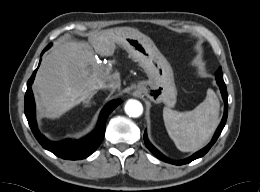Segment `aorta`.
Returning <instances> with one entry per match:
<instances>
[{
  "label": "aorta",
  "mask_w": 260,
  "mask_h": 192,
  "mask_svg": "<svg viewBox=\"0 0 260 192\" xmlns=\"http://www.w3.org/2000/svg\"><path fill=\"white\" fill-rule=\"evenodd\" d=\"M124 110L129 117H139L143 112V106L137 100H128Z\"/></svg>",
  "instance_id": "1"
}]
</instances>
